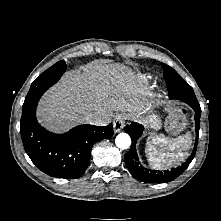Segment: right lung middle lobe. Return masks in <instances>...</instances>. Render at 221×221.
Segmentation results:
<instances>
[{
    "label": "right lung middle lobe",
    "instance_id": "dd1d6c3e",
    "mask_svg": "<svg viewBox=\"0 0 221 221\" xmlns=\"http://www.w3.org/2000/svg\"><path fill=\"white\" fill-rule=\"evenodd\" d=\"M66 63L61 60L43 72L31 85L22 109L36 105L43 93L55 84L66 71Z\"/></svg>",
    "mask_w": 221,
    "mask_h": 221
}]
</instances>
